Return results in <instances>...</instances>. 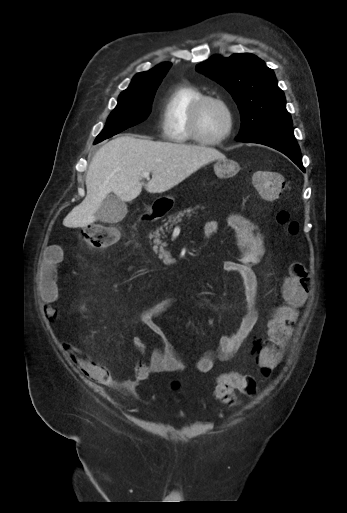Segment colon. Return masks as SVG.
I'll return each mask as SVG.
<instances>
[{"label":"colon","instance_id":"1","mask_svg":"<svg viewBox=\"0 0 347 513\" xmlns=\"http://www.w3.org/2000/svg\"><path fill=\"white\" fill-rule=\"evenodd\" d=\"M252 183L261 197L266 200L278 199L284 191L283 177L275 171H258L253 174ZM278 220L287 225L291 235L300 232V224L283 211ZM120 233L116 228L94 224L83 230V240L91 251L113 246L118 242ZM309 285V272L303 263L290 266L281 286L283 303L274 308L268 322V337L260 340L257 347V371L261 378L270 379L279 369L284 356L283 346L292 334L297 319V307L306 299ZM177 388V383H174ZM257 390L256 379L236 372L224 373L218 377L215 397L225 404L235 401V392L253 395Z\"/></svg>","mask_w":347,"mask_h":513}]
</instances>
